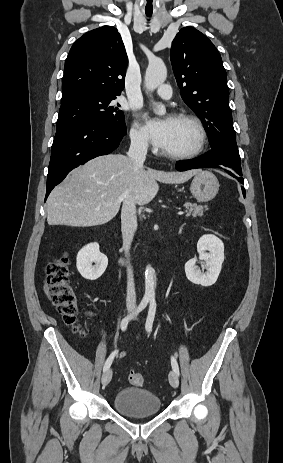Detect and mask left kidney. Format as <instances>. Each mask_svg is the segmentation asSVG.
<instances>
[{"mask_svg":"<svg viewBox=\"0 0 283 463\" xmlns=\"http://www.w3.org/2000/svg\"><path fill=\"white\" fill-rule=\"evenodd\" d=\"M197 250L199 260L205 262L202 269L207 271L205 273L201 272L196 265L197 259L192 258L185 264L186 277L194 284H200L204 287L212 286L221 272L224 261V244L216 236L206 234L199 238Z\"/></svg>","mask_w":283,"mask_h":463,"instance_id":"obj_1","label":"left kidney"}]
</instances>
